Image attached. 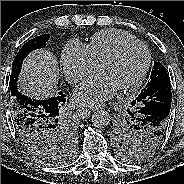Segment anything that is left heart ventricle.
<instances>
[{"instance_id":"left-heart-ventricle-1","label":"left heart ventricle","mask_w":184,"mask_h":184,"mask_svg":"<svg viewBox=\"0 0 184 184\" xmlns=\"http://www.w3.org/2000/svg\"><path fill=\"white\" fill-rule=\"evenodd\" d=\"M145 60V51L139 46H133L126 49L115 61L103 65L99 71L121 88L139 75Z\"/></svg>"}]
</instances>
